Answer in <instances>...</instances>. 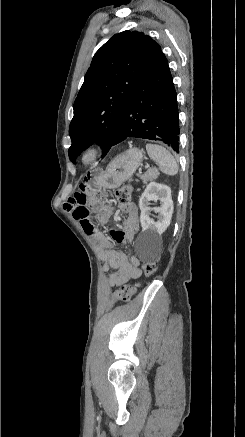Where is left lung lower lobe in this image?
<instances>
[{"instance_id":"1","label":"left lung lower lobe","mask_w":245,"mask_h":437,"mask_svg":"<svg viewBox=\"0 0 245 437\" xmlns=\"http://www.w3.org/2000/svg\"><path fill=\"white\" fill-rule=\"evenodd\" d=\"M176 97L168 61L159 47L125 104L111 146L136 137L163 142L179 152Z\"/></svg>"}]
</instances>
